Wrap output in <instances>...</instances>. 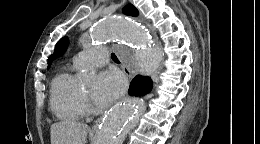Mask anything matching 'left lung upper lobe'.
<instances>
[{
    "mask_svg": "<svg viewBox=\"0 0 260 144\" xmlns=\"http://www.w3.org/2000/svg\"><path fill=\"white\" fill-rule=\"evenodd\" d=\"M123 13L126 15H130V16H137L138 10L132 4H128L127 6H125L123 8ZM68 43H69V41L66 36L61 38L57 42L54 53L49 57V63H48L49 66L51 65V63L54 59H56L57 57H60L64 54V52L67 49Z\"/></svg>",
    "mask_w": 260,
    "mask_h": 144,
    "instance_id": "1",
    "label": "left lung upper lobe"
}]
</instances>
